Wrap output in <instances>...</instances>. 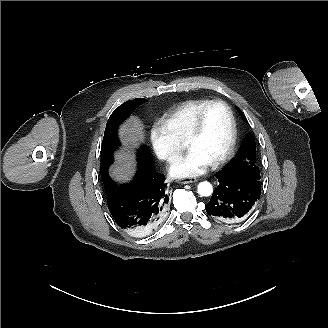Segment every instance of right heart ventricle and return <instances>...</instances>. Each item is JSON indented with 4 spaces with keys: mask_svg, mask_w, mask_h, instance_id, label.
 <instances>
[{
    "mask_svg": "<svg viewBox=\"0 0 328 328\" xmlns=\"http://www.w3.org/2000/svg\"><path fill=\"white\" fill-rule=\"evenodd\" d=\"M210 101L209 99L188 100L163 113L158 121L164 125L177 142L183 143L196 115Z\"/></svg>",
    "mask_w": 328,
    "mask_h": 328,
    "instance_id": "e07e8e85",
    "label": "right heart ventricle"
}]
</instances>
